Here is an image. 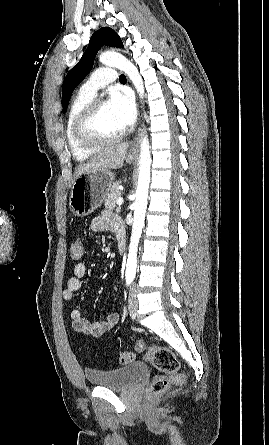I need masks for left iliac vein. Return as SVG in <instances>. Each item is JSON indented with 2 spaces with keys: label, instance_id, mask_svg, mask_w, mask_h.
Here are the masks:
<instances>
[{
  "label": "left iliac vein",
  "instance_id": "4c4485c4",
  "mask_svg": "<svg viewBox=\"0 0 269 445\" xmlns=\"http://www.w3.org/2000/svg\"><path fill=\"white\" fill-rule=\"evenodd\" d=\"M138 309V300L136 297V287L133 285L129 293V314L132 319L136 317Z\"/></svg>",
  "mask_w": 269,
  "mask_h": 445
}]
</instances>
